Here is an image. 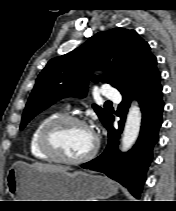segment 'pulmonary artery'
I'll return each instance as SVG.
<instances>
[{
    "instance_id": "pulmonary-artery-1",
    "label": "pulmonary artery",
    "mask_w": 176,
    "mask_h": 211,
    "mask_svg": "<svg viewBox=\"0 0 176 211\" xmlns=\"http://www.w3.org/2000/svg\"><path fill=\"white\" fill-rule=\"evenodd\" d=\"M102 95L109 99V100H113V101H118L120 99V93L119 91L117 90H113V89H110V88H106Z\"/></svg>"
}]
</instances>
